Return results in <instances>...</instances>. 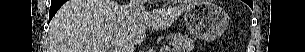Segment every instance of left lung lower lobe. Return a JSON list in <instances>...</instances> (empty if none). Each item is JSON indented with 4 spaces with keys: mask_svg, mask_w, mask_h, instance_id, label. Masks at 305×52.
Instances as JSON below:
<instances>
[{
    "mask_svg": "<svg viewBox=\"0 0 305 52\" xmlns=\"http://www.w3.org/2000/svg\"><path fill=\"white\" fill-rule=\"evenodd\" d=\"M245 3H247L248 5H250V4H251L249 1H245Z\"/></svg>",
    "mask_w": 305,
    "mask_h": 52,
    "instance_id": "obj_1",
    "label": "left lung lower lobe"
}]
</instances>
